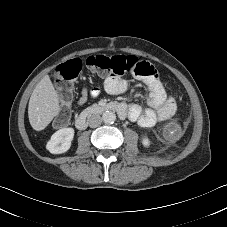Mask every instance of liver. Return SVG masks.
Returning a JSON list of instances; mask_svg holds the SVG:
<instances>
[{
  "instance_id": "liver-1",
  "label": "liver",
  "mask_w": 227,
  "mask_h": 227,
  "mask_svg": "<svg viewBox=\"0 0 227 227\" xmlns=\"http://www.w3.org/2000/svg\"><path fill=\"white\" fill-rule=\"evenodd\" d=\"M60 112L59 97L48 75L34 88L28 105V117L36 131L45 129Z\"/></svg>"
}]
</instances>
